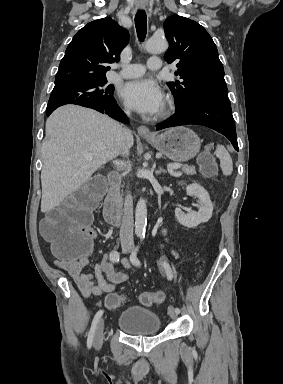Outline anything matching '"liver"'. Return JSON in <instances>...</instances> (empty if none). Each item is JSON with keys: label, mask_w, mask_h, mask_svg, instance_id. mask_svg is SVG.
<instances>
[{"label": "liver", "mask_w": 283, "mask_h": 384, "mask_svg": "<svg viewBox=\"0 0 283 384\" xmlns=\"http://www.w3.org/2000/svg\"><path fill=\"white\" fill-rule=\"evenodd\" d=\"M121 126L105 114L81 106H61L46 122L42 144L41 212L54 210L92 174L121 154L116 136ZM127 146L132 148L129 130ZM92 154L93 160H87Z\"/></svg>", "instance_id": "1"}]
</instances>
